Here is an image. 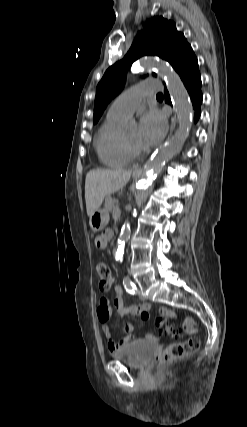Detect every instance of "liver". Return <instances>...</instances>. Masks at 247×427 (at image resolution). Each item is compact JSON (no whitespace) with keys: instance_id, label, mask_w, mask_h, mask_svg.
Returning <instances> with one entry per match:
<instances>
[{"instance_id":"6515ba94","label":"liver","mask_w":247,"mask_h":427,"mask_svg":"<svg viewBox=\"0 0 247 427\" xmlns=\"http://www.w3.org/2000/svg\"><path fill=\"white\" fill-rule=\"evenodd\" d=\"M131 177L129 170L92 169L86 175L85 201L90 217L99 209L106 195L123 188Z\"/></svg>"}]
</instances>
